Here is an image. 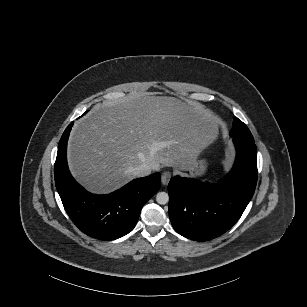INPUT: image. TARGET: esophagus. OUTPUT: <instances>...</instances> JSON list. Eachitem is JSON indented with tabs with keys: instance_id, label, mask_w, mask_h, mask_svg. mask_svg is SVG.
<instances>
[{
	"instance_id": "esophagus-1",
	"label": "esophagus",
	"mask_w": 307,
	"mask_h": 307,
	"mask_svg": "<svg viewBox=\"0 0 307 307\" xmlns=\"http://www.w3.org/2000/svg\"><path fill=\"white\" fill-rule=\"evenodd\" d=\"M170 178H171V173L169 171L163 172L161 176L162 184L167 185L168 182L170 181Z\"/></svg>"
}]
</instances>
